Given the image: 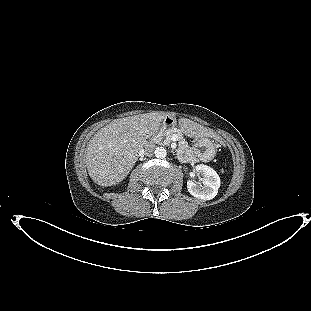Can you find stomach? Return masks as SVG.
I'll list each match as a JSON object with an SVG mask.
<instances>
[{"instance_id": "stomach-1", "label": "stomach", "mask_w": 311, "mask_h": 311, "mask_svg": "<svg viewBox=\"0 0 311 311\" xmlns=\"http://www.w3.org/2000/svg\"><path fill=\"white\" fill-rule=\"evenodd\" d=\"M187 136L194 137L193 141V153L201 160L209 161L214 158L216 154V147L212 141L205 137L192 136L190 132L184 131Z\"/></svg>"}]
</instances>
